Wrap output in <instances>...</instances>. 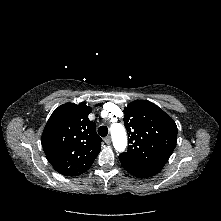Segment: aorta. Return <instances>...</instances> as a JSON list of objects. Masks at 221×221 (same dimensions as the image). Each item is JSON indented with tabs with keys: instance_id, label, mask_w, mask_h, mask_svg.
Instances as JSON below:
<instances>
[{
	"instance_id": "1",
	"label": "aorta",
	"mask_w": 221,
	"mask_h": 221,
	"mask_svg": "<svg viewBox=\"0 0 221 221\" xmlns=\"http://www.w3.org/2000/svg\"><path fill=\"white\" fill-rule=\"evenodd\" d=\"M113 146L118 152H123L127 146V136L124 126L120 123H114L110 127Z\"/></svg>"
}]
</instances>
